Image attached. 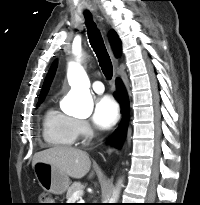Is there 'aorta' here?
I'll list each match as a JSON object with an SVG mask.
<instances>
[{"label": "aorta", "instance_id": "762f6f07", "mask_svg": "<svg viewBox=\"0 0 200 205\" xmlns=\"http://www.w3.org/2000/svg\"><path fill=\"white\" fill-rule=\"evenodd\" d=\"M68 80L71 86L69 110L77 117H89L93 111L90 95V81L79 61L71 62L68 67ZM118 197L116 191L113 203Z\"/></svg>", "mask_w": 200, "mask_h": 205}]
</instances>
